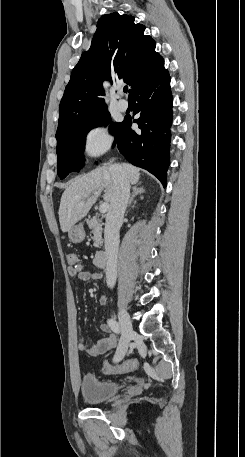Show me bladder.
Wrapping results in <instances>:
<instances>
[{"label": "bladder", "mask_w": 245, "mask_h": 457, "mask_svg": "<svg viewBox=\"0 0 245 457\" xmlns=\"http://www.w3.org/2000/svg\"><path fill=\"white\" fill-rule=\"evenodd\" d=\"M81 391L87 404H99L109 396L116 395L118 383L99 380L92 374H85L80 382Z\"/></svg>", "instance_id": "31cf9c89"}]
</instances>
